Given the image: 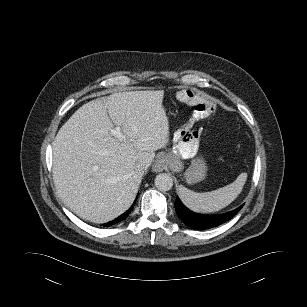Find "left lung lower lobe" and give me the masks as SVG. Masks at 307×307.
Instances as JSON below:
<instances>
[{
    "label": "left lung lower lobe",
    "instance_id": "obj_1",
    "mask_svg": "<svg viewBox=\"0 0 307 307\" xmlns=\"http://www.w3.org/2000/svg\"><path fill=\"white\" fill-rule=\"evenodd\" d=\"M175 209L180 219L189 227L197 230H205L212 227H216L232 219L242 208V206L232 210L230 212L219 215H203L192 212L185 207L180 199L177 197L175 203Z\"/></svg>",
    "mask_w": 307,
    "mask_h": 307
}]
</instances>
